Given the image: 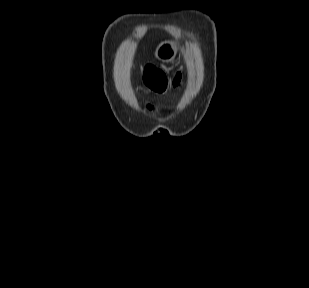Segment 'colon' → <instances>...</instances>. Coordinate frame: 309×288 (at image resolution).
I'll list each match as a JSON object with an SVG mask.
<instances>
[{
    "instance_id": "obj_1",
    "label": "colon",
    "mask_w": 309,
    "mask_h": 288,
    "mask_svg": "<svg viewBox=\"0 0 309 288\" xmlns=\"http://www.w3.org/2000/svg\"><path fill=\"white\" fill-rule=\"evenodd\" d=\"M182 80V73L177 72L172 78L171 83L174 86L179 85ZM148 84L156 92H164L169 84L167 77L157 69H150L148 72Z\"/></svg>"
}]
</instances>
